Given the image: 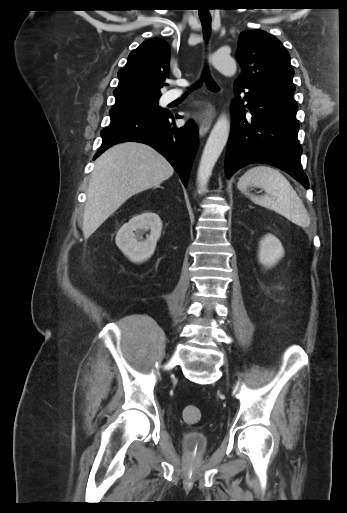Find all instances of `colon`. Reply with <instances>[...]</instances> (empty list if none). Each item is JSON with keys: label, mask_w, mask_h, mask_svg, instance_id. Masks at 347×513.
I'll return each instance as SVG.
<instances>
[{"label": "colon", "mask_w": 347, "mask_h": 513, "mask_svg": "<svg viewBox=\"0 0 347 513\" xmlns=\"http://www.w3.org/2000/svg\"><path fill=\"white\" fill-rule=\"evenodd\" d=\"M182 417L187 424H196L201 419V411L197 406L187 405L183 408Z\"/></svg>", "instance_id": "5ec220e1"}]
</instances>
